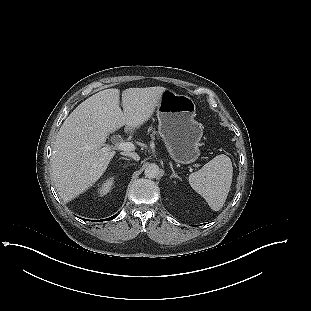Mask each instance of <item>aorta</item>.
Masks as SVG:
<instances>
[{"mask_svg":"<svg viewBox=\"0 0 311 311\" xmlns=\"http://www.w3.org/2000/svg\"><path fill=\"white\" fill-rule=\"evenodd\" d=\"M144 174L149 179L157 178L160 174L158 165L155 163L148 164L145 168Z\"/></svg>","mask_w":311,"mask_h":311,"instance_id":"obj_1","label":"aorta"}]
</instances>
